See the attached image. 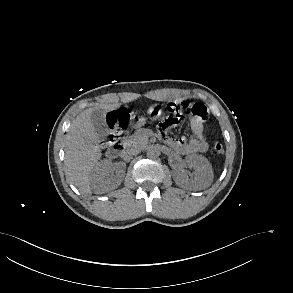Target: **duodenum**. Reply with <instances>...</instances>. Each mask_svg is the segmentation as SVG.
Returning a JSON list of instances; mask_svg holds the SVG:
<instances>
[{
	"instance_id": "1",
	"label": "duodenum",
	"mask_w": 293,
	"mask_h": 293,
	"mask_svg": "<svg viewBox=\"0 0 293 293\" xmlns=\"http://www.w3.org/2000/svg\"><path fill=\"white\" fill-rule=\"evenodd\" d=\"M128 145V137L127 134H123L121 139L117 144L114 145L111 149L108 150V155L111 157H118L124 154V151Z\"/></svg>"
}]
</instances>
